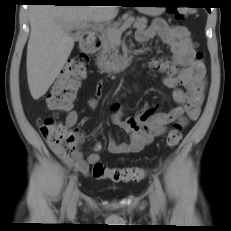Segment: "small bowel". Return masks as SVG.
I'll list each match as a JSON object with an SVG mask.
<instances>
[{"instance_id":"obj_1","label":"small bowel","mask_w":231,"mask_h":231,"mask_svg":"<svg viewBox=\"0 0 231 231\" xmlns=\"http://www.w3.org/2000/svg\"><path fill=\"white\" fill-rule=\"evenodd\" d=\"M156 36L170 48L172 57L169 60H152L148 67L164 74L163 82L173 89L172 98L177 106L169 112H158L157 106L145 104L135 117L124 119L123 105L118 102L111 104L113 124L129 134L128 142L116 143L114 139L110 140L108 151L112 154L138 153L154 138L163 135L172 122L179 121L181 125H185L196 120L200 114L206 87L205 68L201 60L196 58L195 43L188 29L180 25L170 26L165 20L157 18L149 28L137 33L136 40L146 43ZM96 105L95 99L90 101L91 108H96ZM77 122L78 113L69 111L65 126L71 128ZM47 142L55 155L68 167L84 176L89 174V166L100 159L101 143H96L93 152L85 159L76 145L70 147L68 153L65 148L49 140Z\"/></svg>"}]
</instances>
